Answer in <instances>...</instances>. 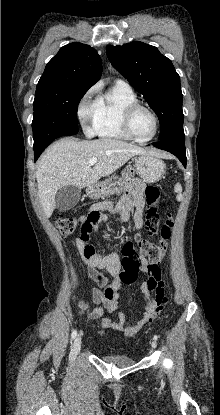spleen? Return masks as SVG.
I'll use <instances>...</instances> for the list:
<instances>
[{
  "label": "spleen",
  "instance_id": "3e777b00",
  "mask_svg": "<svg viewBox=\"0 0 220 415\" xmlns=\"http://www.w3.org/2000/svg\"><path fill=\"white\" fill-rule=\"evenodd\" d=\"M174 189L178 193L177 194V200L178 201H181L182 200V194H181V192H182V186H181V184L180 183H177L175 185Z\"/></svg>",
  "mask_w": 220,
  "mask_h": 415
}]
</instances>
